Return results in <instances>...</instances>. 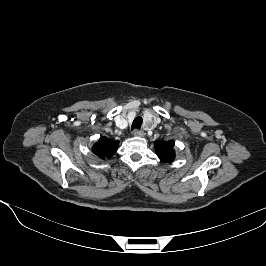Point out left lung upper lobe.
<instances>
[{"mask_svg":"<svg viewBox=\"0 0 266 266\" xmlns=\"http://www.w3.org/2000/svg\"><path fill=\"white\" fill-rule=\"evenodd\" d=\"M174 141H159L154 144L157 156L164 162H171L175 158Z\"/></svg>","mask_w":266,"mask_h":266,"instance_id":"1","label":"left lung upper lobe"}]
</instances>
